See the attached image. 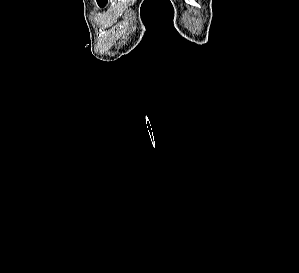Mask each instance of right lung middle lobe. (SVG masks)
<instances>
[{
	"label": "right lung middle lobe",
	"mask_w": 299,
	"mask_h": 273,
	"mask_svg": "<svg viewBox=\"0 0 299 273\" xmlns=\"http://www.w3.org/2000/svg\"><path fill=\"white\" fill-rule=\"evenodd\" d=\"M100 7L106 6L107 0H97Z\"/></svg>",
	"instance_id": "obj_1"
}]
</instances>
